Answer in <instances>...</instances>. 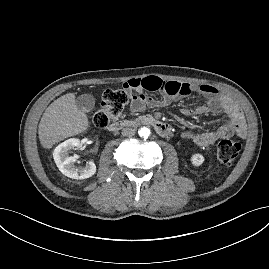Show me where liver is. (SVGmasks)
<instances>
[{"mask_svg": "<svg viewBox=\"0 0 269 269\" xmlns=\"http://www.w3.org/2000/svg\"><path fill=\"white\" fill-rule=\"evenodd\" d=\"M88 125L87 115L76 106L75 94L67 93L43 113L38 128L40 143L49 149L65 138L84 132Z\"/></svg>", "mask_w": 269, "mask_h": 269, "instance_id": "6515ba94", "label": "liver"}]
</instances>
